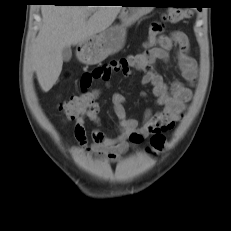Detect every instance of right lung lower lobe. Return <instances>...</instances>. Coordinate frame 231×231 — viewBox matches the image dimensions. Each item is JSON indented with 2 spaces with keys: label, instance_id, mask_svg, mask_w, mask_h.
<instances>
[{
  "label": "right lung lower lobe",
  "instance_id": "obj_1",
  "mask_svg": "<svg viewBox=\"0 0 231 231\" xmlns=\"http://www.w3.org/2000/svg\"><path fill=\"white\" fill-rule=\"evenodd\" d=\"M39 2H52L56 5H77L75 0H39Z\"/></svg>",
  "mask_w": 231,
  "mask_h": 231
}]
</instances>
